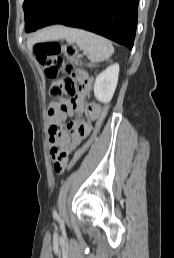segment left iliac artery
Segmentation results:
<instances>
[{
	"label": "left iliac artery",
	"instance_id": "1",
	"mask_svg": "<svg viewBox=\"0 0 174 258\" xmlns=\"http://www.w3.org/2000/svg\"><path fill=\"white\" fill-rule=\"evenodd\" d=\"M53 216H54V217H57V216H58V214H57V212H56L55 209L53 210Z\"/></svg>",
	"mask_w": 174,
	"mask_h": 258
}]
</instances>
